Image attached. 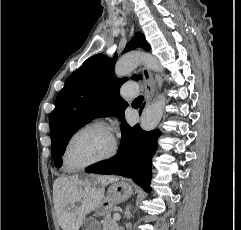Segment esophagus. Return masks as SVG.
Segmentation results:
<instances>
[{
	"label": "esophagus",
	"mask_w": 241,
	"mask_h": 230,
	"mask_svg": "<svg viewBox=\"0 0 241 230\" xmlns=\"http://www.w3.org/2000/svg\"><path fill=\"white\" fill-rule=\"evenodd\" d=\"M142 75L145 82V103L148 105L154 97L156 85L152 72L145 66L142 68Z\"/></svg>",
	"instance_id": "esophagus-1"
}]
</instances>
